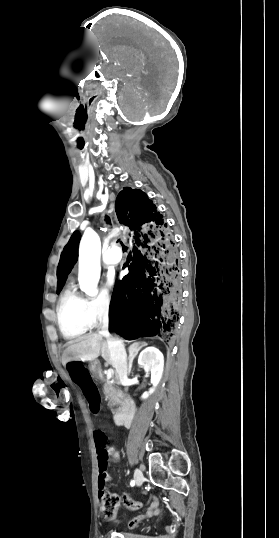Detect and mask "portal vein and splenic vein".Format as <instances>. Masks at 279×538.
Here are the masks:
<instances>
[{"label": "portal vein and splenic vein", "instance_id": "portal-vein-and-splenic-vein-1", "mask_svg": "<svg viewBox=\"0 0 279 538\" xmlns=\"http://www.w3.org/2000/svg\"><path fill=\"white\" fill-rule=\"evenodd\" d=\"M113 374H114L113 370H108V372H107V380H110V378H112Z\"/></svg>", "mask_w": 279, "mask_h": 538}]
</instances>
